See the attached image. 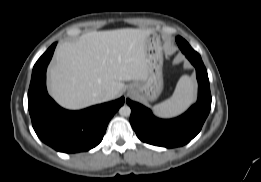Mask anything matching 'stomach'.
<instances>
[{"label":"stomach","mask_w":261,"mask_h":182,"mask_svg":"<svg viewBox=\"0 0 261 182\" xmlns=\"http://www.w3.org/2000/svg\"><path fill=\"white\" fill-rule=\"evenodd\" d=\"M145 54L148 64V76L144 81L130 86L133 95L144 102L155 101L163 90V51L160 39L152 33L146 41Z\"/></svg>","instance_id":"0dacf381"}]
</instances>
